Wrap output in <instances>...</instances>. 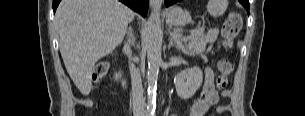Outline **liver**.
I'll return each instance as SVG.
<instances>
[{
  "label": "liver",
  "instance_id": "liver-1",
  "mask_svg": "<svg viewBox=\"0 0 305 116\" xmlns=\"http://www.w3.org/2000/svg\"><path fill=\"white\" fill-rule=\"evenodd\" d=\"M135 13L118 0H62L55 13L67 72L83 95L92 88L95 63L122 42Z\"/></svg>",
  "mask_w": 305,
  "mask_h": 116
}]
</instances>
